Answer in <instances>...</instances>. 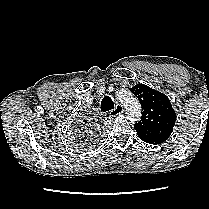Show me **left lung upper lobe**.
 <instances>
[{"label": "left lung upper lobe", "mask_w": 209, "mask_h": 209, "mask_svg": "<svg viewBox=\"0 0 209 209\" xmlns=\"http://www.w3.org/2000/svg\"><path fill=\"white\" fill-rule=\"evenodd\" d=\"M130 91L139 99L143 109L141 120L134 124L138 137L143 140L166 141L176 121L168 97L144 84H137Z\"/></svg>", "instance_id": "1"}]
</instances>
